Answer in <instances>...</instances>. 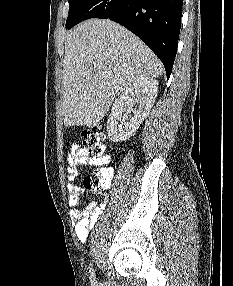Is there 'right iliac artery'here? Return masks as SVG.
<instances>
[{"instance_id": "1", "label": "right iliac artery", "mask_w": 233, "mask_h": 286, "mask_svg": "<svg viewBox=\"0 0 233 286\" xmlns=\"http://www.w3.org/2000/svg\"><path fill=\"white\" fill-rule=\"evenodd\" d=\"M89 272H90V281H91V284L94 286V285L96 284L94 270L90 267Z\"/></svg>"}]
</instances>
